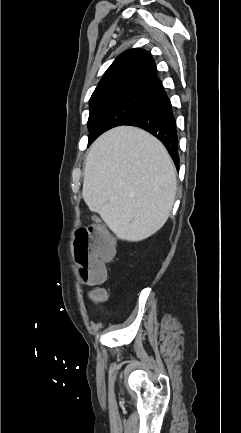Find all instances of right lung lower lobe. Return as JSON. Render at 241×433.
Wrapping results in <instances>:
<instances>
[{"label":"right lung lower lobe","instance_id":"98d812e1","mask_svg":"<svg viewBox=\"0 0 241 433\" xmlns=\"http://www.w3.org/2000/svg\"><path fill=\"white\" fill-rule=\"evenodd\" d=\"M123 125L140 127L157 137L167 148L178 169L176 121L172 112L171 102L163 86L154 92L150 101L141 111Z\"/></svg>","mask_w":241,"mask_h":433}]
</instances>
